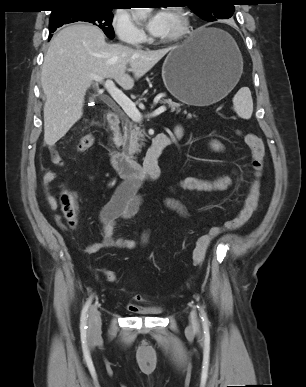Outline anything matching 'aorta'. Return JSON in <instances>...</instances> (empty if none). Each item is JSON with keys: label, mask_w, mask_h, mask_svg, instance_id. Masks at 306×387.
Wrapping results in <instances>:
<instances>
[{"label": "aorta", "mask_w": 306, "mask_h": 387, "mask_svg": "<svg viewBox=\"0 0 306 387\" xmlns=\"http://www.w3.org/2000/svg\"><path fill=\"white\" fill-rule=\"evenodd\" d=\"M134 18H146L147 14L150 12V8H133Z\"/></svg>", "instance_id": "aorta-1"}]
</instances>
